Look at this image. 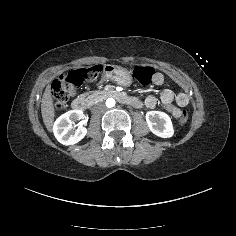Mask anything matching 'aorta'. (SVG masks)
Masks as SVG:
<instances>
[{"mask_svg": "<svg viewBox=\"0 0 236 236\" xmlns=\"http://www.w3.org/2000/svg\"><path fill=\"white\" fill-rule=\"evenodd\" d=\"M115 99H113V98H108L107 100H106V106L107 107H109V108H112V107H114L115 106Z\"/></svg>", "mask_w": 236, "mask_h": 236, "instance_id": "obj_1", "label": "aorta"}]
</instances>
